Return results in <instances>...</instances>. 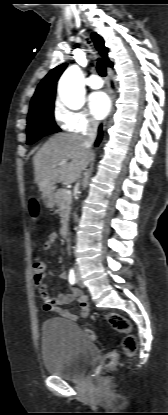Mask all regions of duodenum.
Listing matches in <instances>:
<instances>
[{
  "label": "duodenum",
  "instance_id": "obj_1",
  "mask_svg": "<svg viewBox=\"0 0 168 415\" xmlns=\"http://www.w3.org/2000/svg\"><path fill=\"white\" fill-rule=\"evenodd\" d=\"M68 233V226L67 224H63L60 228V235L65 237Z\"/></svg>",
  "mask_w": 168,
  "mask_h": 415
}]
</instances>
